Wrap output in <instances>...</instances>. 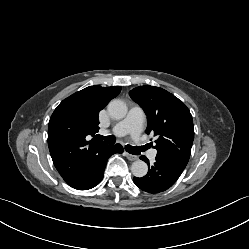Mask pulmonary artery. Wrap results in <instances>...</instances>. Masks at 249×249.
<instances>
[{"label": "pulmonary artery", "instance_id": "1", "mask_svg": "<svg viewBox=\"0 0 249 249\" xmlns=\"http://www.w3.org/2000/svg\"><path fill=\"white\" fill-rule=\"evenodd\" d=\"M144 119L143 111L138 107H132L127 116L113 128V133L117 136L130 134L132 137L137 138L142 131ZM101 134L106 135L108 131L103 130ZM156 154V150H151L149 152V158L154 160Z\"/></svg>", "mask_w": 249, "mask_h": 249}]
</instances>
